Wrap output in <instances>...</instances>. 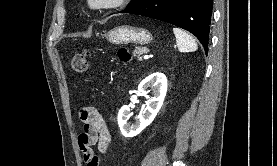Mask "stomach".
<instances>
[{"label": "stomach", "instance_id": "stomach-1", "mask_svg": "<svg viewBox=\"0 0 277 166\" xmlns=\"http://www.w3.org/2000/svg\"><path fill=\"white\" fill-rule=\"evenodd\" d=\"M104 36L110 43L116 45L129 43L145 45L152 40V35L148 30L127 25L115 27Z\"/></svg>", "mask_w": 277, "mask_h": 166}]
</instances>
